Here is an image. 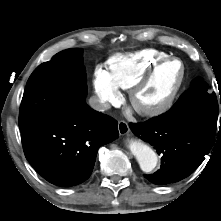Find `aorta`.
I'll return each instance as SVG.
<instances>
[{"label":"aorta","mask_w":221,"mask_h":221,"mask_svg":"<svg viewBox=\"0 0 221 221\" xmlns=\"http://www.w3.org/2000/svg\"><path fill=\"white\" fill-rule=\"evenodd\" d=\"M128 147L137 159L142 171L151 172L154 170L158 159L156 153L149 146L138 140H130Z\"/></svg>","instance_id":"1"}]
</instances>
